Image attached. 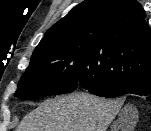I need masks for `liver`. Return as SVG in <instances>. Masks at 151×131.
<instances>
[{
	"instance_id": "6515ba94",
	"label": "liver",
	"mask_w": 151,
	"mask_h": 131,
	"mask_svg": "<svg viewBox=\"0 0 151 131\" xmlns=\"http://www.w3.org/2000/svg\"><path fill=\"white\" fill-rule=\"evenodd\" d=\"M121 104L78 92L41 103L16 131H106Z\"/></svg>"
}]
</instances>
